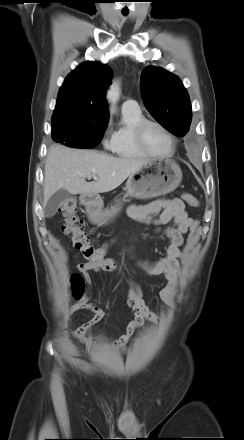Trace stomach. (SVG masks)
<instances>
[{
    "instance_id": "1",
    "label": "stomach",
    "mask_w": 244,
    "mask_h": 440,
    "mask_svg": "<svg viewBox=\"0 0 244 440\" xmlns=\"http://www.w3.org/2000/svg\"><path fill=\"white\" fill-rule=\"evenodd\" d=\"M181 180L182 171L174 160H148L139 171L129 176L126 182V196L147 199L165 195L173 192ZM126 201L123 199V202ZM81 202L86 207L91 222L95 224L105 223L121 209V203L103 209V200L98 195H82Z\"/></svg>"
}]
</instances>
